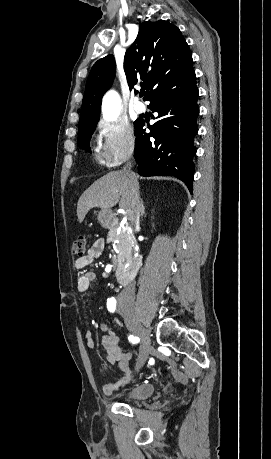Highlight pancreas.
I'll use <instances>...</instances> for the list:
<instances>
[{
	"label": "pancreas",
	"mask_w": 271,
	"mask_h": 459,
	"mask_svg": "<svg viewBox=\"0 0 271 459\" xmlns=\"http://www.w3.org/2000/svg\"><path fill=\"white\" fill-rule=\"evenodd\" d=\"M108 239L109 241H116V239L119 241V243H116V249L120 251L119 255L129 256L131 254V245L133 243L130 233L125 229H121L118 233V228H111L108 231Z\"/></svg>",
	"instance_id": "pancreas-1"
}]
</instances>
